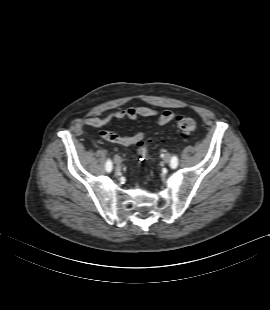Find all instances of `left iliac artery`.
Segmentation results:
<instances>
[{
  "label": "left iliac artery",
  "mask_w": 270,
  "mask_h": 310,
  "mask_svg": "<svg viewBox=\"0 0 270 310\" xmlns=\"http://www.w3.org/2000/svg\"><path fill=\"white\" fill-rule=\"evenodd\" d=\"M177 165H178V158L176 156H173L171 160V167L176 168Z\"/></svg>",
  "instance_id": "obj_1"
}]
</instances>
